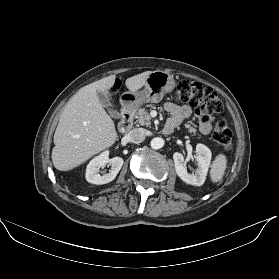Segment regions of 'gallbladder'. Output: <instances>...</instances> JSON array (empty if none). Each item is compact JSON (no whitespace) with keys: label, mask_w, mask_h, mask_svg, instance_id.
I'll return each instance as SVG.
<instances>
[{"label":"gallbladder","mask_w":279,"mask_h":279,"mask_svg":"<svg viewBox=\"0 0 279 279\" xmlns=\"http://www.w3.org/2000/svg\"><path fill=\"white\" fill-rule=\"evenodd\" d=\"M97 97L99 99L100 104L103 107L108 108V107L111 106L110 99L108 98V96L105 93L98 91L97 92ZM109 114L115 119L120 118V114L116 110L109 109Z\"/></svg>","instance_id":"bac80fb5"}]
</instances>
